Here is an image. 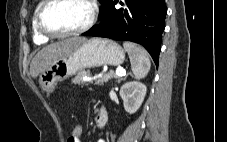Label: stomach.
Segmentation results:
<instances>
[{
	"mask_svg": "<svg viewBox=\"0 0 227 142\" xmlns=\"http://www.w3.org/2000/svg\"><path fill=\"white\" fill-rule=\"evenodd\" d=\"M125 60V51L117 43L101 38L87 40L72 53L59 58L40 74L39 83L46 92H53L57 82L77 72L105 64L118 66Z\"/></svg>",
	"mask_w": 227,
	"mask_h": 142,
	"instance_id": "0dacf381",
	"label": "stomach"
}]
</instances>
